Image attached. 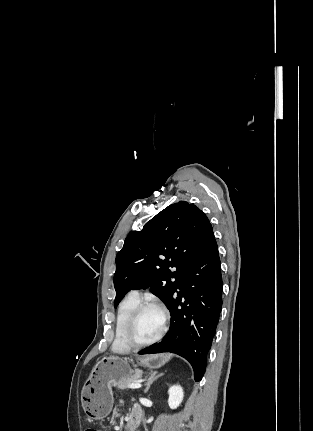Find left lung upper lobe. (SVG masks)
Here are the masks:
<instances>
[{
    "mask_svg": "<svg viewBox=\"0 0 313 431\" xmlns=\"http://www.w3.org/2000/svg\"><path fill=\"white\" fill-rule=\"evenodd\" d=\"M211 231L209 219L198 207L180 201L131 233L116 256L114 307L129 290L148 287L168 306Z\"/></svg>",
    "mask_w": 313,
    "mask_h": 431,
    "instance_id": "obj_1",
    "label": "left lung upper lobe"
}]
</instances>
